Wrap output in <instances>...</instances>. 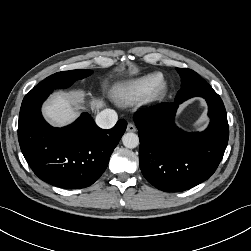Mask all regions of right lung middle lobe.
<instances>
[{
  "label": "right lung middle lobe",
  "instance_id": "dd1d6c3e",
  "mask_svg": "<svg viewBox=\"0 0 251 251\" xmlns=\"http://www.w3.org/2000/svg\"><path fill=\"white\" fill-rule=\"evenodd\" d=\"M91 74V70H71L58 72L45 78L33 89L54 90L68 88L73 84L74 81L83 79Z\"/></svg>",
  "mask_w": 251,
  "mask_h": 251
}]
</instances>
